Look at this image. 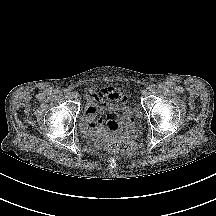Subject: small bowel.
<instances>
[{"label":"small bowel","instance_id":"1","mask_svg":"<svg viewBox=\"0 0 216 216\" xmlns=\"http://www.w3.org/2000/svg\"><path fill=\"white\" fill-rule=\"evenodd\" d=\"M128 97L121 88L104 87L100 90L91 88L86 93V108L82 118L85 133L94 137H104L118 127L120 117H128ZM108 112L107 126H104L100 114Z\"/></svg>","mask_w":216,"mask_h":216}]
</instances>
